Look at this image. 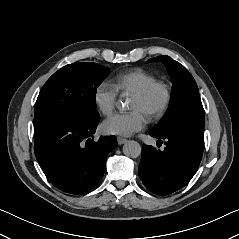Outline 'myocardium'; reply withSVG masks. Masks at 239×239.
Returning <instances> with one entry per match:
<instances>
[{"instance_id": "f54148a6", "label": "myocardium", "mask_w": 239, "mask_h": 239, "mask_svg": "<svg viewBox=\"0 0 239 239\" xmlns=\"http://www.w3.org/2000/svg\"><path fill=\"white\" fill-rule=\"evenodd\" d=\"M159 92V100L146 110L148 115H153L163 111L169 101V91L163 83L151 82L146 85L142 90L132 96V101L141 104L148 100L155 92Z\"/></svg>"}]
</instances>
